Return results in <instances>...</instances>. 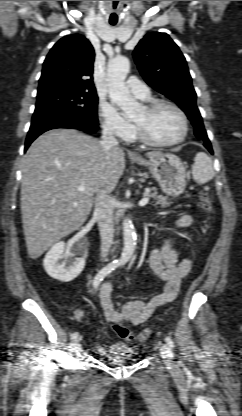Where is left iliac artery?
Listing matches in <instances>:
<instances>
[{
  "label": "left iliac artery",
  "mask_w": 242,
  "mask_h": 416,
  "mask_svg": "<svg viewBox=\"0 0 242 416\" xmlns=\"http://www.w3.org/2000/svg\"><path fill=\"white\" fill-rule=\"evenodd\" d=\"M165 342L170 348H172V349L174 348V342L172 341V339L170 337H166Z\"/></svg>",
  "instance_id": "left-iliac-artery-1"
}]
</instances>
